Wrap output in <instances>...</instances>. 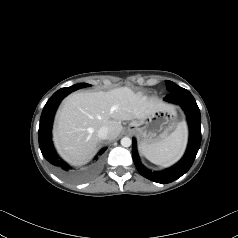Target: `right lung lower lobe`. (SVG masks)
Here are the masks:
<instances>
[{"mask_svg": "<svg viewBox=\"0 0 238 238\" xmlns=\"http://www.w3.org/2000/svg\"><path fill=\"white\" fill-rule=\"evenodd\" d=\"M77 89H79L77 85L61 88L50 97L41 114L38 135L39 146L45 159L49 161L52 165L59 167L61 170H63L64 174L67 177L73 179L78 178L79 175L71 171L72 168L57 156L51 141V127L54 113L60 101L66 95ZM104 151L105 149L101 150L99 154L103 153Z\"/></svg>", "mask_w": 238, "mask_h": 238, "instance_id": "obj_1", "label": "right lung lower lobe"}]
</instances>
